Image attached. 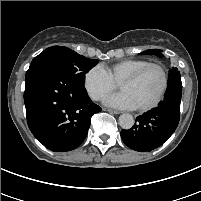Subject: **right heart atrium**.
I'll return each instance as SVG.
<instances>
[{
    "mask_svg": "<svg viewBox=\"0 0 201 201\" xmlns=\"http://www.w3.org/2000/svg\"><path fill=\"white\" fill-rule=\"evenodd\" d=\"M84 88L92 100L100 101L115 90L116 83L101 65H96L86 71Z\"/></svg>",
    "mask_w": 201,
    "mask_h": 201,
    "instance_id": "d8ad5b80",
    "label": "right heart atrium"
}]
</instances>
